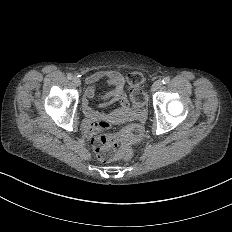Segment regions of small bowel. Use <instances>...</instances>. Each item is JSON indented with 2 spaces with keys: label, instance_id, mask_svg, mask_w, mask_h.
Segmentation results:
<instances>
[{
  "label": "small bowel",
  "instance_id": "obj_1",
  "mask_svg": "<svg viewBox=\"0 0 232 232\" xmlns=\"http://www.w3.org/2000/svg\"><path fill=\"white\" fill-rule=\"evenodd\" d=\"M103 79L115 89L102 95L101 98L112 100V103L115 104V106L106 113L100 114L94 109L92 100L96 96L95 84ZM84 83L88 85V88L81 95L80 103L87 119L91 123L86 129L87 134L105 130L111 120L117 115L123 117L128 116L130 112L129 101L124 89V81L117 70H98L94 75L85 77Z\"/></svg>",
  "mask_w": 232,
  "mask_h": 232
}]
</instances>
